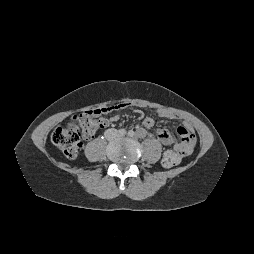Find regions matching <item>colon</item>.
Listing matches in <instances>:
<instances>
[{"label": "colon", "mask_w": 254, "mask_h": 254, "mask_svg": "<svg viewBox=\"0 0 254 254\" xmlns=\"http://www.w3.org/2000/svg\"><path fill=\"white\" fill-rule=\"evenodd\" d=\"M105 109L84 112L74 117L65 126L57 127L52 133V143L59 148L67 158L75 159L82 147V140L93 136L98 127L96 116ZM181 160L180 154L171 151L164 158L168 166H175Z\"/></svg>", "instance_id": "obj_1"}]
</instances>
